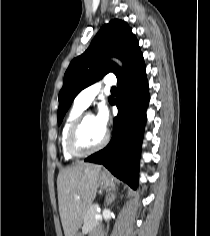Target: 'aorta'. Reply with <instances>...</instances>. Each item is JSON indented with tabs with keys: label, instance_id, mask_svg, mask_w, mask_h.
Masks as SVG:
<instances>
[{
	"label": "aorta",
	"instance_id": "762f6f07",
	"mask_svg": "<svg viewBox=\"0 0 210 236\" xmlns=\"http://www.w3.org/2000/svg\"><path fill=\"white\" fill-rule=\"evenodd\" d=\"M119 64H121L118 60H116Z\"/></svg>",
	"mask_w": 210,
	"mask_h": 236
}]
</instances>
